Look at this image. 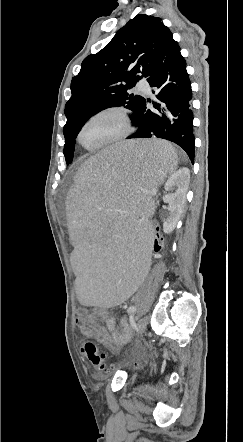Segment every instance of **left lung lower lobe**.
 <instances>
[{"instance_id":"left-lung-lower-lobe-1","label":"left lung lower lobe","mask_w":243,"mask_h":442,"mask_svg":"<svg viewBox=\"0 0 243 442\" xmlns=\"http://www.w3.org/2000/svg\"><path fill=\"white\" fill-rule=\"evenodd\" d=\"M145 78L156 99L153 109L146 108V100L132 119L138 130L128 139L162 138L179 145L194 163L193 113L191 110L192 90L186 62L180 47L173 40L172 33L148 69Z\"/></svg>"}]
</instances>
